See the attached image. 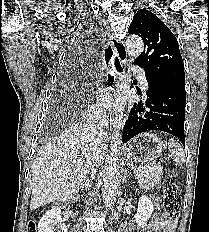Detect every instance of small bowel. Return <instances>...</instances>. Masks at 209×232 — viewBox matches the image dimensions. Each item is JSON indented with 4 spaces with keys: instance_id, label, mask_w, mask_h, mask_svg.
Returning a JSON list of instances; mask_svg holds the SVG:
<instances>
[{
    "instance_id": "obj_1",
    "label": "small bowel",
    "mask_w": 209,
    "mask_h": 232,
    "mask_svg": "<svg viewBox=\"0 0 209 232\" xmlns=\"http://www.w3.org/2000/svg\"><path fill=\"white\" fill-rule=\"evenodd\" d=\"M156 200V207H159L158 200ZM175 222L168 221L162 217L154 219L148 226L143 227L140 232H174ZM129 227L125 228V231L128 232Z\"/></svg>"
}]
</instances>
